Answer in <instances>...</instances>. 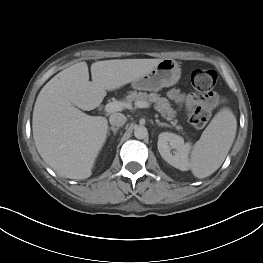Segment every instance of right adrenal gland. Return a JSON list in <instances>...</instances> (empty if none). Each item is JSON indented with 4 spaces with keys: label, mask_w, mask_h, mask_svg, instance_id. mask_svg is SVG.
<instances>
[{
    "label": "right adrenal gland",
    "mask_w": 263,
    "mask_h": 263,
    "mask_svg": "<svg viewBox=\"0 0 263 263\" xmlns=\"http://www.w3.org/2000/svg\"><path fill=\"white\" fill-rule=\"evenodd\" d=\"M119 128H115V127H110L107 131V134L109 135L110 134V131H112L114 133V135L117 134V131H118Z\"/></svg>",
    "instance_id": "2a0ac1e0"
}]
</instances>
